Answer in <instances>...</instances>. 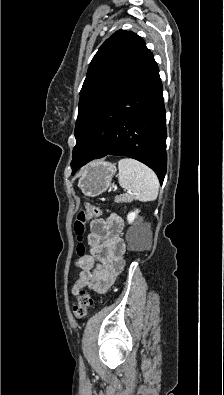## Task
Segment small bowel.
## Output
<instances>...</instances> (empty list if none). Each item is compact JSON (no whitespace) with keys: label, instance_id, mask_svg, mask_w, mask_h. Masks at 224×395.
I'll list each match as a JSON object with an SVG mask.
<instances>
[{"label":"small bowel","instance_id":"small-bowel-1","mask_svg":"<svg viewBox=\"0 0 224 395\" xmlns=\"http://www.w3.org/2000/svg\"><path fill=\"white\" fill-rule=\"evenodd\" d=\"M122 227L123 220L115 214L106 220L91 221L89 254L79 261L80 273L72 288L73 294L86 286L103 293L115 283L125 265L126 244L118 234Z\"/></svg>","mask_w":224,"mask_h":395}]
</instances>
